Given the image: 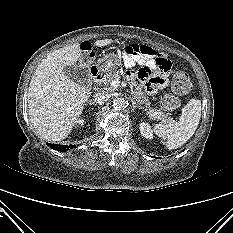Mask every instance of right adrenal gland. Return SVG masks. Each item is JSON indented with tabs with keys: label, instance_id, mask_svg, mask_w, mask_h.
<instances>
[{
	"label": "right adrenal gland",
	"instance_id": "obj_1",
	"mask_svg": "<svg viewBox=\"0 0 233 233\" xmlns=\"http://www.w3.org/2000/svg\"><path fill=\"white\" fill-rule=\"evenodd\" d=\"M87 104H89V105H97L94 101H89V102H87Z\"/></svg>",
	"mask_w": 233,
	"mask_h": 233
}]
</instances>
